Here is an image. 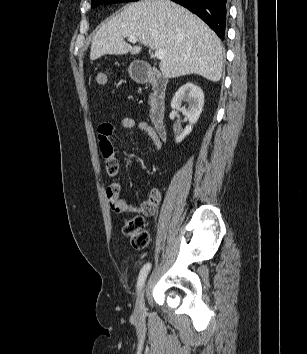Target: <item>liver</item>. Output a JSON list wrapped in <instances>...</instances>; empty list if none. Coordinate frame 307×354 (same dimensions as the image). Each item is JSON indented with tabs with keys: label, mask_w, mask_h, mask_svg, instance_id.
Masks as SVG:
<instances>
[{
	"label": "liver",
	"mask_w": 307,
	"mask_h": 354,
	"mask_svg": "<svg viewBox=\"0 0 307 354\" xmlns=\"http://www.w3.org/2000/svg\"><path fill=\"white\" fill-rule=\"evenodd\" d=\"M130 36L144 46L165 49L159 68L166 78L197 74L213 82L221 79L220 39L199 17L170 0H141L125 7L97 31L90 59L140 53L141 46L124 41Z\"/></svg>",
	"instance_id": "obj_1"
}]
</instances>
